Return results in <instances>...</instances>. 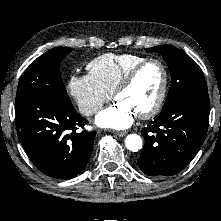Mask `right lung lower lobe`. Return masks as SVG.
Wrapping results in <instances>:
<instances>
[{
	"label": "right lung lower lobe",
	"mask_w": 221,
	"mask_h": 221,
	"mask_svg": "<svg viewBox=\"0 0 221 221\" xmlns=\"http://www.w3.org/2000/svg\"><path fill=\"white\" fill-rule=\"evenodd\" d=\"M15 107L18 138L42 173L60 179L82 173L92 153L96 132L76 131L87 121L72 104L36 96Z\"/></svg>",
	"instance_id": "obj_1"
}]
</instances>
